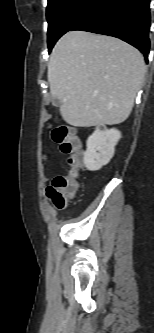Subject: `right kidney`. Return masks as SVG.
Wrapping results in <instances>:
<instances>
[{"label": "right kidney", "instance_id": "1", "mask_svg": "<svg viewBox=\"0 0 154 333\" xmlns=\"http://www.w3.org/2000/svg\"><path fill=\"white\" fill-rule=\"evenodd\" d=\"M121 138L117 129H102L97 127L87 140L84 153V165L88 170L97 171L112 159L115 146Z\"/></svg>", "mask_w": 154, "mask_h": 333}]
</instances>
